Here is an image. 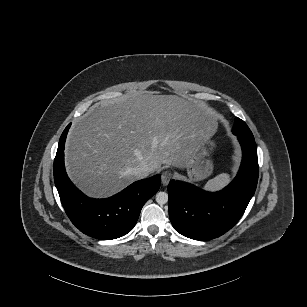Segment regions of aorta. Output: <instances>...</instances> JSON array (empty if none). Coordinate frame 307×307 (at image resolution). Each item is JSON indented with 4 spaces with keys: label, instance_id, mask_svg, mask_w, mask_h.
<instances>
[{
    "label": "aorta",
    "instance_id": "762f6f07",
    "mask_svg": "<svg viewBox=\"0 0 307 307\" xmlns=\"http://www.w3.org/2000/svg\"><path fill=\"white\" fill-rule=\"evenodd\" d=\"M155 197L158 204H165L168 201V194L166 192H158Z\"/></svg>",
    "mask_w": 307,
    "mask_h": 307
}]
</instances>
